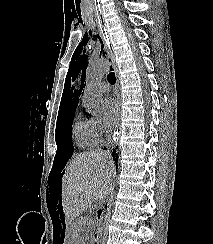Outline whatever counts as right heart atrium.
<instances>
[{
	"instance_id": "right-heart-atrium-1",
	"label": "right heart atrium",
	"mask_w": 213,
	"mask_h": 244,
	"mask_svg": "<svg viewBox=\"0 0 213 244\" xmlns=\"http://www.w3.org/2000/svg\"><path fill=\"white\" fill-rule=\"evenodd\" d=\"M89 130L91 132L92 138L96 144L103 141L104 136L107 133V129L103 121L99 117H92L87 120Z\"/></svg>"
}]
</instances>
